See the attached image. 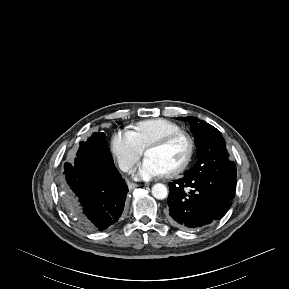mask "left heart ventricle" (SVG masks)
Returning a JSON list of instances; mask_svg holds the SVG:
<instances>
[{
    "label": "left heart ventricle",
    "instance_id": "b2bd125f",
    "mask_svg": "<svg viewBox=\"0 0 289 289\" xmlns=\"http://www.w3.org/2000/svg\"><path fill=\"white\" fill-rule=\"evenodd\" d=\"M186 153L187 144L183 139H179L166 147L149 150L146 156L158 162L167 173L184 160Z\"/></svg>",
    "mask_w": 289,
    "mask_h": 289
}]
</instances>
